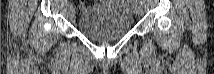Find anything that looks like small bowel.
Instances as JSON below:
<instances>
[{
	"mask_svg": "<svg viewBox=\"0 0 214 74\" xmlns=\"http://www.w3.org/2000/svg\"><path fill=\"white\" fill-rule=\"evenodd\" d=\"M126 7L129 8V6H126ZM79 8H80V9H83V8H84V4H83V3H80Z\"/></svg>",
	"mask_w": 214,
	"mask_h": 74,
	"instance_id": "c3829d8e",
	"label": "small bowel"
}]
</instances>
